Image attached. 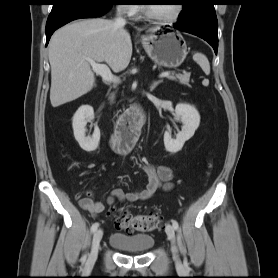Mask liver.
Instances as JSON below:
<instances>
[{
  "mask_svg": "<svg viewBox=\"0 0 278 278\" xmlns=\"http://www.w3.org/2000/svg\"><path fill=\"white\" fill-rule=\"evenodd\" d=\"M131 56L130 35L115 21L85 19L60 28L52 35L48 50L51 105L58 107L92 90L95 77L89 60L106 62L118 72L128 66Z\"/></svg>",
  "mask_w": 278,
  "mask_h": 278,
  "instance_id": "obj_1",
  "label": "liver"
}]
</instances>
